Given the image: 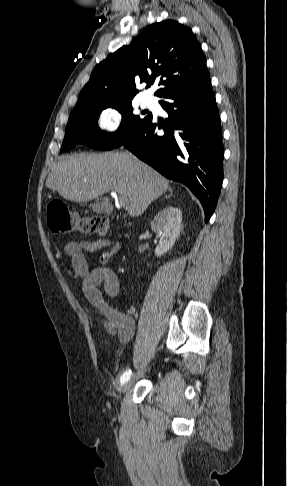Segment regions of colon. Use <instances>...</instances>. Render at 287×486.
<instances>
[{"label":"colon","mask_w":287,"mask_h":486,"mask_svg":"<svg viewBox=\"0 0 287 486\" xmlns=\"http://www.w3.org/2000/svg\"><path fill=\"white\" fill-rule=\"evenodd\" d=\"M47 223L50 230L57 234H65L72 231L104 234L108 228V221L105 218H81L71 212L68 206L59 200L51 201L48 204Z\"/></svg>","instance_id":"obj_1"}]
</instances>
